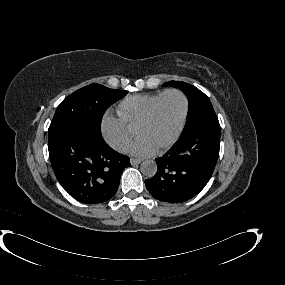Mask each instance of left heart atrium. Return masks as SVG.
Listing matches in <instances>:
<instances>
[{
  "label": "left heart atrium",
  "mask_w": 285,
  "mask_h": 285,
  "mask_svg": "<svg viewBox=\"0 0 285 285\" xmlns=\"http://www.w3.org/2000/svg\"><path fill=\"white\" fill-rule=\"evenodd\" d=\"M155 151V147L149 143L145 138L139 137L129 148V152L138 157H145L152 154Z\"/></svg>",
  "instance_id": "1"
}]
</instances>
